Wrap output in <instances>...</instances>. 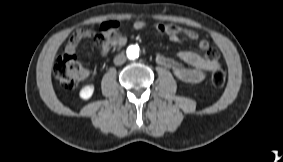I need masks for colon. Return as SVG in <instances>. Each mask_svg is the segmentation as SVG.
Instances as JSON below:
<instances>
[{"label":"colon","instance_id":"colon-1","mask_svg":"<svg viewBox=\"0 0 283 162\" xmlns=\"http://www.w3.org/2000/svg\"><path fill=\"white\" fill-rule=\"evenodd\" d=\"M54 76L68 89L74 88L85 75V69L75 55L65 54L56 59L53 65ZM226 81V72L218 66L211 72V82L222 87Z\"/></svg>","mask_w":283,"mask_h":162}]
</instances>
